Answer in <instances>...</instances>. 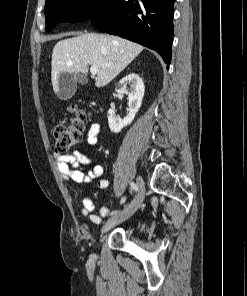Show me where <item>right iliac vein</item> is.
Listing matches in <instances>:
<instances>
[{
    "mask_svg": "<svg viewBox=\"0 0 247 296\" xmlns=\"http://www.w3.org/2000/svg\"><path fill=\"white\" fill-rule=\"evenodd\" d=\"M137 185L139 187V192L134 198V200L124 211L114 215L113 217H111L106 221V223L102 227V230H101L102 233L107 232L115 225L125 221L137 211V209L139 208V206L142 204L144 200L145 185L141 177L137 178Z\"/></svg>",
    "mask_w": 247,
    "mask_h": 296,
    "instance_id": "63e3f726",
    "label": "right iliac vein"
}]
</instances>
